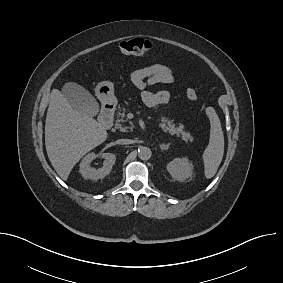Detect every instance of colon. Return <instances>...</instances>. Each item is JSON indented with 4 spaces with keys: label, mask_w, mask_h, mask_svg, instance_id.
Returning <instances> with one entry per match:
<instances>
[{
    "label": "colon",
    "mask_w": 283,
    "mask_h": 283,
    "mask_svg": "<svg viewBox=\"0 0 283 283\" xmlns=\"http://www.w3.org/2000/svg\"><path fill=\"white\" fill-rule=\"evenodd\" d=\"M152 49V44L143 38L128 39L122 41L119 45V50L123 55H143L151 52ZM186 96L191 101L198 99V93L192 87L187 88Z\"/></svg>",
    "instance_id": "colon-1"
}]
</instances>
